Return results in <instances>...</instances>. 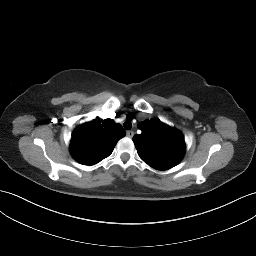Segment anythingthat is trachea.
Returning a JSON list of instances; mask_svg holds the SVG:
<instances>
[{
    "instance_id": "trachea-1",
    "label": "trachea",
    "mask_w": 256,
    "mask_h": 256,
    "mask_svg": "<svg viewBox=\"0 0 256 256\" xmlns=\"http://www.w3.org/2000/svg\"><path fill=\"white\" fill-rule=\"evenodd\" d=\"M123 126L126 130H130L132 128V123L130 121H125Z\"/></svg>"
}]
</instances>
